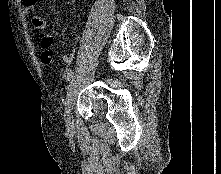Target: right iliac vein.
Instances as JSON below:
<instances>
[{
	"label": "right iliac vein",
	"mask_w": 221,
	"mask_h": 174,
	"mask_svg": "<svg viewBox=\"0 0 221 174\" xmlns=\"http://www.w3.org/2000/svg\"><path fill=\"white\" fill-rule=\"evenodd\" d=\"M77 86V77L74 76L68 86L67 89V96L65 99V113H64V120L67 126H73V119H72V109H73V101L75 96V90Z\"/></svg>",
	"instance_id": "obj_1"
}]
</instances>
